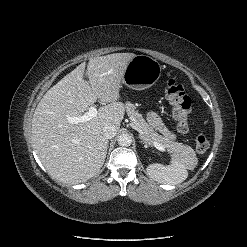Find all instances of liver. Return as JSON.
I'll use <instances>...</instances> for the list:
<instances>
[{
	"mask_svg": "<svg viewBox=\"0 0 247 247\" xmlns=\"http://www.w3.org/2000/svg\"><path fill=\"white\" fill-rule=\"evenodd\" d=\"M133 53L92 58L51 87L37 105L32 119V142L47 172L56 180L77 184L94 177L104 164L108 140L103 129L118 130L125 106L119 101L122 79ZM97 100L107 104L86 122L71 123Z\"/></svg>",
	"mask_w": 247,
	"mask_h": 247,
	"instance_id": "liver-1",
	"label": "liver"
}]
</instances>
